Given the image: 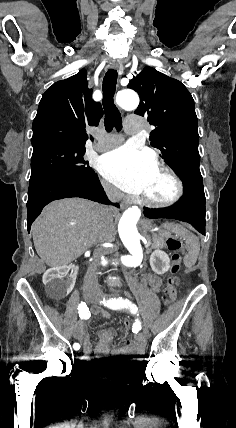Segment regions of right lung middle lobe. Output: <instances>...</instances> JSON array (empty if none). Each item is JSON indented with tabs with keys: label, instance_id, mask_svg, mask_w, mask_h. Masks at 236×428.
<instances>
[{
	"label": "right lung middle lobe",
	"instance_id": "right-lung-middle-lobe-1",
	"mask_svg": "<svg viewBox=\"0 0 236 428\" xmlns=\"http://www.w3.org/2000/svg\"><path fill=\"white\" fill-rule=\"evenodd\" d=\"M85 142L48 143L33 148L29 183L59 174H84L92 171L85 161Z\"/></svg>",
	"mask_w": 236,
	"mask_h": 428
}]
</instances>
